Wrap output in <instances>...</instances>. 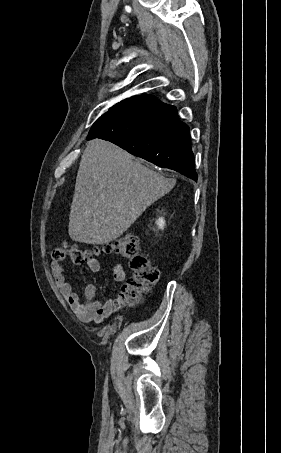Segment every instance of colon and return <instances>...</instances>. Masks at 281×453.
I'll list each match as a JSON object with an SVG mask.
<instances>
[{"instance_id":"colon-1","label":"colon","mask_w":281,"mask_h":453,"mask_svg":"<svg viewBox=\"0 0 281 453\" xmlns=\"http://www.w3.org/2000/svg\"><path fill=\"white\" fill-rule=\"evenodd\" d=\"M65 255H69L73 262H92L98 255L127 260L131 276L126 280L120 296L122 305L147 291L148 286L159 278L157 269L149 265L148 258L142 253L137 238L115 239L99 245L95 252L83 250L79 242L65 240L62 246L53 252L52 258L54 261H61Z\"/></svg>"}]
</instances>
